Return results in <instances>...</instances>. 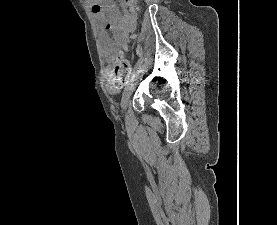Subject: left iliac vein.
Returning <instances> with one entry per match:
<instances>
[{
    "label": "left iliac vein",
    "instance_id": "4c4485c4",
    "mask_svg": "<svg viewBox=\"0 0 277 225\" xmlns=\"http://www.w3.org/2000/svg\"><path fill=\"white\" fill-rule=\"evenodd\" d=\"M141 77L142 73L137 74L136 76L132 77L131 81L126 85L121 100V107L123 110L127 108L129 99L135 89L136 82L139 81Z\"/></svg>",
    "mask_w": 277,
    "mask_h": 225
}]
</instances>
